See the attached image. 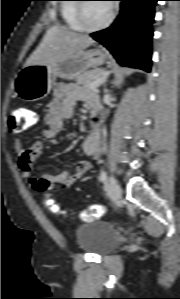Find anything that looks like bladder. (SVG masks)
I'll list each match as a JSON object with an SVG mask.
<instances>
[{
  "mask_svg": "<svg viewBox=\"0 0 180 299\" xmlns=\"http://www.w3.org/2000/svg\"><path fill=\"white\" fill-rule=\"evenodd\" d=\"M74 238L79 249L97 255L111 252L119 243L117 230L104 220H92L79 224Z\"/></svg>",
  "mask_w": 180,
  "mask_h": 299,
  "instance_id": "31cf9c89",
  "label": "bladder"
}]
</instances>
